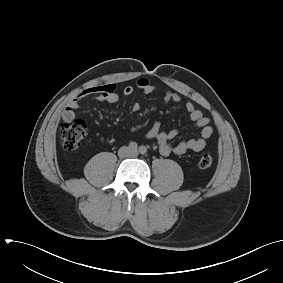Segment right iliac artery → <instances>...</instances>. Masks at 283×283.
Instances as JSON below:
<instances>
[{
  "label": "right iliac artery",
  "mask_w": 283,
  "mask_h": 283,
  "mask_svg": "<svg viewBox=\"0 0 283 283\" xmlns=\"http://www.w3.org/2000/svg\"><path fill=\"white\" fill-rule=\"evenodd\" d=\"M129 148H130L131 150H137L138 145H137L136 142H131V143L129 144Z\"/></svg>",
  "instance_id": "1"
}]
</instances>
